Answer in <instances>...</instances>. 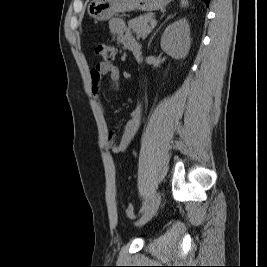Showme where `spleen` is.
Here are the masks:
<instances>
[{
    "mask_svg": "<svg viewBox=\"0 0 267 267\" xmlns=\"http://www.w3.org/2000/svg\"><path fill=\"white\" fill-rule=\"evenodd\" d=\"M188 6V0H181V7H187Z\"/></svg>",
    "mask_w": 267,
    "mask_h": 267,
    "instance_id": "spleen-1",
    "label": "spleen"
}]
</instances>
